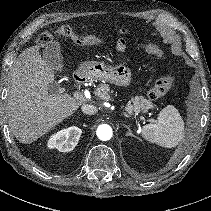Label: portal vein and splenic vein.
I'll list each match as a JSON object with an SVG mask.
<instances>
[{"label":"portal vein and splenic vein","mask_w":211,"mask_h":211,"mask_svg":"<svg viewBox=\"0 0 211 211\" xmlns=\"http://www.w3.org/2000/svg\"><path fill=\"white\" fill-rule=\"evenodd\" d=\"M74 97L77 99V100H81V101H84L86 99L89 100V98L86 96V95H83L82 93L80 92H75L74 93Z\"/></svg>","instance_id":"1"}]
</instances>
